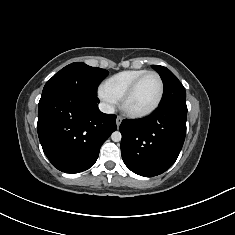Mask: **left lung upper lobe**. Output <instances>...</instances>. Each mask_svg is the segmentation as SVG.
I'll return each instance as SVG.
<instances>
[{
	"label": "left lung upper lobe",
	"mask_w": 235,
	"mask_h": 235,
	"mask_svg": "<svg viewBox=\"0 0 235 235\" xmlns=\"http://www.w3.org/2000/svg\"><path fill=\"white\" fill-rule=\"evenodd\" d=\"M152 67L160 74L165 87L161 104L174 100H186L184 87L169 69L158 65H152Z\"/></svg>",
	"instance_id": "5c2ea615"
}]
</instances>
